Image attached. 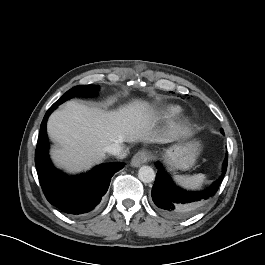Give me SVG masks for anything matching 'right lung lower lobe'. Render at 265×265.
Wrapping results in <instances>:
<instances>
[{"mask_svg":"<svg viewBox=\"0 0 265 265\" xmlns=\"http://www.w3.org/2000/svg\"><path fill=\"white\" fill-rule=\"evenodd\" d=\"M58 105L53 104L46 112L40 126L35 165L38 178L47 200L64 213L82 216L91 212L107 192L111 177L125 163L101 164L81 176H67L56 170L48 157L46 122Z\"/></svg>","mask_w":265,"mask_h":265,"instance_id":"obj_1","label":"right lung lower lobe"}]
</instances>
